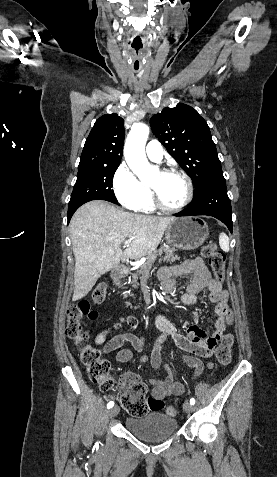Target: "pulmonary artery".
I'll list each match as a JSON object with an SVG mask.
<instances>
[{"label":"pulmonary artery","mask_w":277,"mask_h":477,"mask_svg":"<svg viewBox=\"0 0 277 477\" xmlns=\"http://www.w3.org/2000/svg\"><path fill=\"white\" fill-rule=\"evenodd\" d=\"M147 157L154 162H160L163 157V150L160 143L156 140H152L146 147Z\"/></svg>","instance_id":"e3ab8cb5"}]
</instances>
